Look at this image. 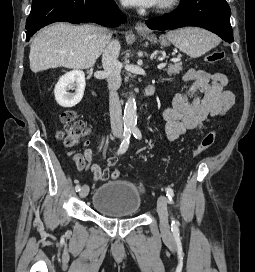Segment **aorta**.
I'll return each mask as SVG.
<instances>
[{"label": "aorta", "instance_id": "1", "mask_svg": "<svg viewBox=\"0 0 255 272\" xmlns=\"http://www.w3.org/2000/svg\"><path fill=\"white\" fill-rule=\"evenodd\" d=\"M136 101L134 96L129 97L124 109L123 123L126 129H133L137 124Z\"/></svg>", "mask_w": 255, "mask_h": 272}]
</instances>
